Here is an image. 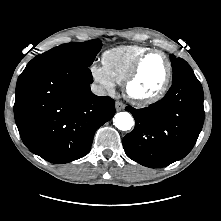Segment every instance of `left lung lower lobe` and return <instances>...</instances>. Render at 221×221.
I'll list each match as a JSON object with an SVG mask.
<instances>
[{
	"label": "left lung lower lobe",
	"mask_w": 221,
	"mask_h": 221,
	"mask_svg": "<svg viewBox=\"0 0 221 221\" xmlns=\"http://www.w3.org/2000/svg\"><path fill=\"white\" fill-rule=\"evenodd\" d=\"M203 99L202 85L194 75L174 82L167 94L149 107H127L135 128L123 138L126 155L150 168L184 158L203 126Z\"/></svg>",
	"instance_id": "1"
}]
</instances>
